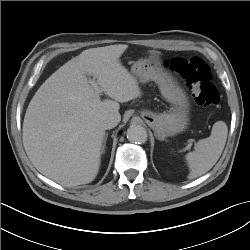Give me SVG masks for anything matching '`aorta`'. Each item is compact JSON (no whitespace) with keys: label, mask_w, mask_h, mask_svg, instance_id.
<instances>
[{"label":"aorta","mask_w":250,"mask_h":250,"mask_svg":"<svg viewBox=\"0 0 250 250\" xmlns=\"http://www.w3.org/2000/svg\"><path fill=\"white\" fill-rule=\"evenodd\" d=\"M147 137V131L141 125H131L127 130V139L132 143H145L147 141Z\"/></svg>","instance_id":"obj_1"}]
</instances>
